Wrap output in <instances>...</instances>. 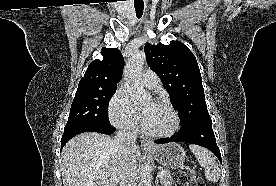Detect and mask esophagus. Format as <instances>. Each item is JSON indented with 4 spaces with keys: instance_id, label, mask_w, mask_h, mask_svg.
<instances>
[{
    "instance_id": "obj_1",
    "label": "esophagus",
    "mask_w": 276,
    "mask_h": 186,
    "mask_svg": "<svg viewBox=\"0 0 276 186\" xmlns=\"http://www.w3.org/2000/svg\"><path fill=\"white\" fill-rule=\"evenodd\" d=\"M141 146L145 149H153L154 148V144L150 139L147 138H143L141 140Z\"/></svg>"
}]
</instances>
